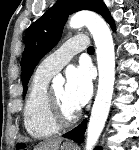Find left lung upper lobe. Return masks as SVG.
<instances>
[{
	"mask_svg": "<svg viewBox=\"0 0 139 150\" xmlns=\"http://www.w3.org/2000/svg\"><path fill=\"white\" fill-rule=\"evenodd\" d=\"M83 9L95 11L104 18L108 14L103 0H58L27 29L21 60L23 96L34 68L59 41L68 15Z\"/></svg>",
	"mask_w": 139,
	"mask_h": 150,
	"instance_id": "5c2ea615",
	"label": "left lung upper lobe"
}]
</instances>
